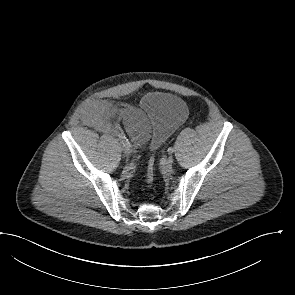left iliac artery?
I'll use <instances>...</instances> for the list:
<instances>
[{
  "label": "left iliac artery",
  "mask_w": 295,
  "mask_h": 295,
  "mask_svg": "<svg viewBox=\"0 0 295 295\" xmlns=\"http://www.w3.org/2000/svg\"><path fill=\"white\" fill-rule=\"evenodd\" d=\"M167 152L169 154H172L174 152V148L173 147H169L168 150H167Z\"/></svg>",
  "instance_id": "1"
}]
</instances>
